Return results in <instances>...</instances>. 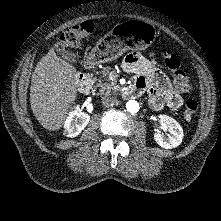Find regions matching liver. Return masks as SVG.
<instances>
[{
  "label": "liver",
  "mask_w": 221,
  "mask_h": 221,
  "mask_svg": "<svg viewBox=\"0 0 221 221\" xmlns=\"http://www.w3.org/2000/svg\"><path fill=\"white\" fill-rule=\"evenodd\" d=\"M76 99V68L50 49L32 74L30 104L34 116L45 129L58 130Z\"/></svg>",
  "instance_id": "6515ba94"
}]
</instances>
